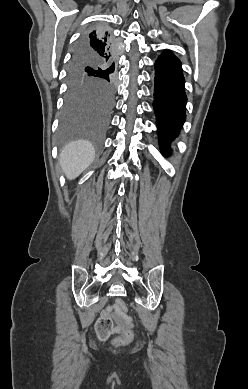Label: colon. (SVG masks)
Masks as SVG:
<instances>
[{"label": "colon", "instance_id": "obj_1", "mask_svg": "<svg viewBox=\"0 0 248 389\" xmlns=\"http://www.w3.org/2000/svg\"><path fill=\"white\" fill-rule=\"evenodd\" d=\"M115 309L120 317V325L116 324L111 318L105 317L96 323L100 335H107L114 329H119L121 335L119 338L114 340V345L120 346L130 342L133 339V333L124 327L127 320L128 309L126 303L122 299H117L115 302Z\"/></svg>", "mask_w": 248, "mask_h": 389}]
</instances>
